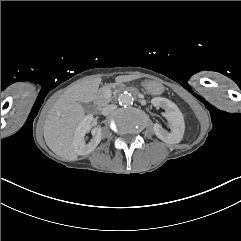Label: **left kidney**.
I'll use <instances>...</instances> for the list:
<instances>
[{
	"instance_id": "1",
	"label": "left kidney",
	"mask_w": 241,
	"mask_h": 241,
	"mask_svg": "<svg viewBox=\"0 0 241 241\" xmlns=\"http://www.w3.org/2000/svg\"><path fill=\"white\" fill-rule=\"evenodd\" d=\"M155 107H161L165 110L164 116L169 121L171 132L169 133L158 123L153 126L155 135L168 144L179 143L184 135L185 123L184 116L175 103L169 99L162 97H155L151 100Z\"/></svg>"
}]
</instances>
